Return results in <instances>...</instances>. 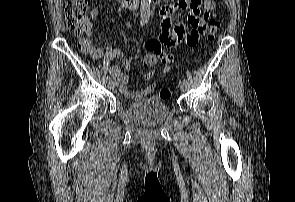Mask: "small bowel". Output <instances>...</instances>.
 Returning a JSON list of instances; mask_svg holds the SVG:
<instances>
[{
	"mask_svg": "<svg viewBox=\"0 0 295 202\" xmlns=\"http://www.w3.org/2000/svg\"><path fill=\"white\" fill-rule=\"evenodd\" d=\"M214 9L215 3L213 0H177L176 2L163 6L159 15L161 26L159 39L158 41H147L144 46L149 52H157L158 62L164 64V73L169 72L170 64L174 61V56L163 52L162 47L174 48L181 43L194 46L198 41L200 32L203 31L206 25L209 14ZM182 10H187L189 13L188 23L173 24L172 15ZM98 14L99 10L97 8H93L90 11L92 18L97 17ZM87 41L91 46V50L89 51L91 56L96 59L101 58L103 56V50L91 41ZM106 58H124V54L118 49H109L106 52ZM123 62L126 67L131 65V59L124 58ZM108 71L115 79L120 92L130 100L140 101L154 92V90H146V87L138 90H130L127 87V73L122 72L117 66H110ZM153 78L154 75H147V72L144 74L146 81H151Z\"/></svg>",
	"mask_w": 295,
	"mask_h": 202,
	"instance_id": "obj_1",
	"label": "small bowel"
}]
</instances>
